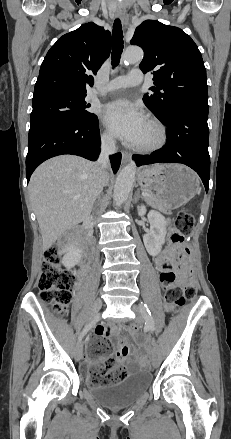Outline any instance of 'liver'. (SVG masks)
I'll return each mask as SVG.
<instances>
[{
    "instance_id": "obj_1",
    "label": "liver",
    "mask_w": 231,
    "mask_h": 439,
    "mask_svg": "<svg viewBox=\"0 0 231 439\" xmlns=\"http://www.w3.org/2000/svg\"><path fill=\"white\" fill-rule=\"evenodd\" d=\"M108 181L109 178L106 183ZM102 186L96 165L73 155L49 159L34 171L28 189L40 227L43 251L90 216Z\"/></svg>"
}]
</instances>
